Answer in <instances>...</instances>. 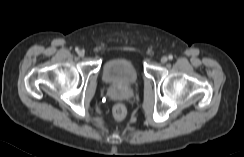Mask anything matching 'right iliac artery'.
<instances>
[{"mask_svg": "<svg viewBox=\"0 0 244 157\" xmlns=\"http://www.w3.org/2000/svg\"><path fill=\"white\" fill-rule=\"evenodd\" d=\"M75 51H76V52H79V48H75Z\"/></svg>", "mask_w": 244, "mask_h": 157, "instance_id": "1", "label": "right iliac artery"}]
</instances>
